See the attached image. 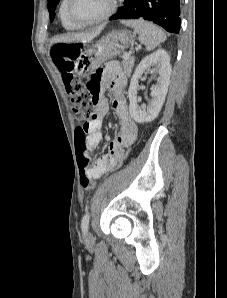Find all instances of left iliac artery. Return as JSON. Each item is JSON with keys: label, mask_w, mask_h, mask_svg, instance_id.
I'll return each mask as SVG.
<instances>
[{"label": "left iliac artery", "mask_w": 227, "mask_h": 298, "mask_svg": "<svg viewBox=\"0 0 227 298\" xmlns=\"http://www.w3.org/2000/svg\"><path fill=\"white\" fill-rule=\"evenodd\" d=\"M89 219H90V214H89V212H86L81 220V229H82L83 233H86L88 230Z\"/></svg>", "instance_id": "44dca946"}]
</instances>
